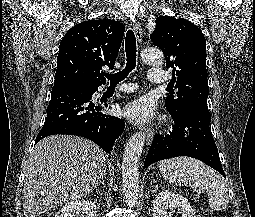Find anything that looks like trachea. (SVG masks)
Listing matches in <instances>:
<instances>
[{"instance_id":"3493384b","label":"trachea","mask_w":255,"mask_h":217,"mask_svg":"<svg viewBox=\"0 0 255 217\" xmlns=\"http://www.w3.org/2000/svg\"><path fill=\"white\" fill-rule=\"evenodd\" d=\"M125 51L127 57L126 67L115 73V74H106L105 77L110 80L111 84H118L124 80L128 74L135 69L136 67V38L133 30H128L125 38Z\"/></svg>"}]
</instances>
